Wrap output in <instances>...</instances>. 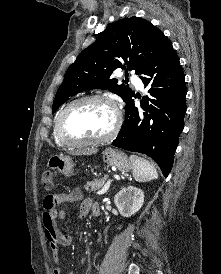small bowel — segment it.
Listing matches in <instances>:
<instances>
[{
    "label": "small bowel",
    "mask_w": 221,
    "mask_h": 274,
    "mask_svg": "<svg viewBox=\"0 0 221 274\" xmlns=\"http://www.w3.org/2000/svg\"><path fill=\"white\" fill-rule=\"evenodd\" d=\"M82 194L79 190H74L69 193H57L45 197L43 201V225L45 229V236L49 244V248L54 260L53 274H61L62 267L59 260V253L62 247L69 246L71 244V237L65 233L59 226V221L62 220L65 215V209L58 210V207L77 201L81 199ZM96 207H100L97 202L91 199H85L82 201L78 216L84 218L90 211H94ZM68 274H75L73 271Z\"/></svg>",
    "instance_id": "small-bowel-1"
}]
</instances>
